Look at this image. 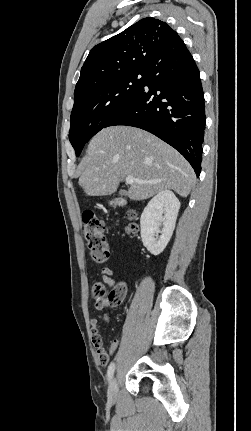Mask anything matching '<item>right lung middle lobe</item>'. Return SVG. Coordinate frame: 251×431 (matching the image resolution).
Wrapping results in <instances>:
<instances>
[{
  "label": "right lung middle lobe",
  "mask_w": 251,
  "mask_h": 431,
  "mask_svg": "<svg viewBox=\"0 0 251 431\" xmlns=\"http://www.w3.org/2000/svg\"><path fill=\"white\" fill-rule=\"evenodd\" d=\"M145 78L146 70L139 69L74 95L69 140L76 156L80 155L90 138L140 91Z\"/></svg>",
  "instance_id": "right-lung-middle-lobe-1"
}]
</instances>
